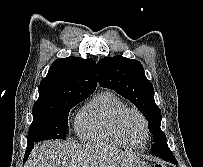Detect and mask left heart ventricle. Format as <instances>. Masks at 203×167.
Masks as SVG:
<instances>
[{
	"mask_svg": "<svg viewBox=\"0 0 203 167\" xmlns=\"http://www.w3.org/2000/svg\"><path fill=\"white\" fill-rule=\"evenodd\" d=\"M121 129L127 139L133 144H141L144 141L145 132L141 119L135 113H127L121 121Z\"/></svg>",
	"mask_w": 203,
	"mask_h": 167,
	"instance_id": "1",
	"label": "left heart ventricle"
}]
</instances>
